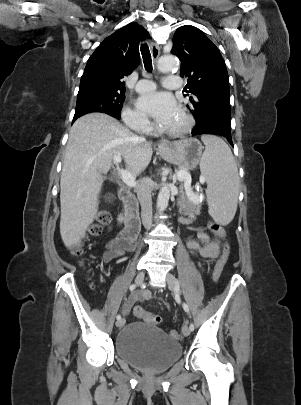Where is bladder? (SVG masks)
<instances>
[{"label":"bladder","instance_id":"1","mask_svg":"<svg viewBox=\"0 0 301 405\" xmlns=\"http://www.w3.org/2000/svg\"><path fill=\"white\" fill-rule=\"evenodd\" d=\"M115 351L133 367L158 373L167 370L179 359L182 347L158 327L131 322L118 332Z\"/></svg>","mask_w":301,"mask_h":405}]
</instances>
